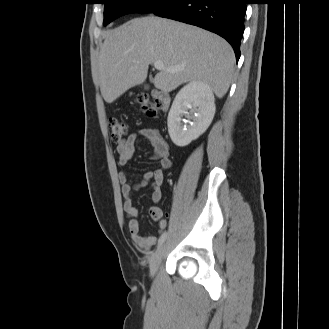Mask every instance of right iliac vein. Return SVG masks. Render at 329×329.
<instances>
[{"instance_id":"obj_1","label":"right iliac vein","mask_w":329,"mask_h":329,"mask_svg":"<svg viewBox=\"0 0 329 329\" xmlns=\"http://www.w3.org/2000/svg\"><path fill=\"white\" fill-rule=\"evenodd\" d=\"M164 245H161L156 252L153 254L151 261H150V276L154 277V275L156 274L158 267L160 265L163 253H164Z\"/></svg>"}]
</instances>
